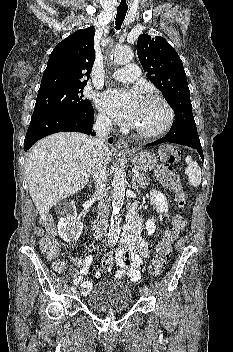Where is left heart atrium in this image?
<instances>
[{
	"label": "left heart atrium",
	"instance_id": "obj_1",
	"mask_svg": "<svg viewBox=\"0 0 233 352\" xmlns=\"http://www.w3.org/2000/svg\"><path fill=\"white\" fill-rule=\"evenodd\" d=\"M142 100L135 92L109 90L99 98V105L118 123L134 126Z\"/></svg>",
	"mask_w": 233,
	"mask_h": 352
}]
</instances>
